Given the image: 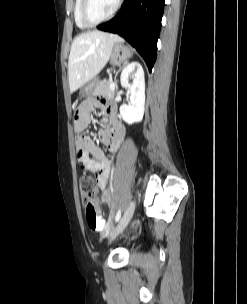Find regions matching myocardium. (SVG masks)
<instances>
[{"instance_id":"myocardium-1","label":"myocardium","mask_w":247,"mask_h":304,"mask_svg":"<svg viewBox=\"0 0 247 304\" xmlns=\"http://www.w3.org/2000/svg\"><path fill=\"white\" fill-rule=\"evenodd\" d=\"M122 3H123V0H118L117 4H116V7L114 8V10L107 17H105L101 20H98V21H93L88 16V8H89V5H90V0H82L81 7H80L81 20L88 27L98 26V25H100L104 22H107V21L111 20L112 18H114L115 15L120 10Z\"/></svg>"}]
</instances>
